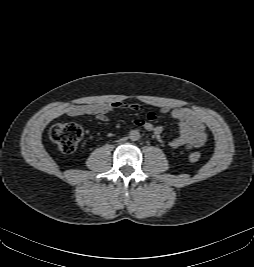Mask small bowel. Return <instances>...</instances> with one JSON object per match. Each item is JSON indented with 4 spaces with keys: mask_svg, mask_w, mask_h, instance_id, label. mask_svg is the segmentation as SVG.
Wrapping results in <instances>:
<instances>
[{
    "mask_svg": "<svg viewBox=\"0 0 254 267\" xmlns=\"http://www.w3.org/2000/svg\"><path fill=\"white\" fill-rule=\"evenodd\" d=\"M143 105L141 103H125V102H97L90 104L72 105L67 110V115L70 117L77 116H93L101 121L107 120V114L118 108H128L133 111L141 110ZM161 112L170 113L173 119L178 122L179 133L173 138L169 145L171 148H185L193 149L202 146L206 139V127L202 119L192 110L188 108L170 109L162 107ZM156 114L148 112L144 118H137L134 120V125L144 128L151 132L156 139L161 140L163 134V127L155 125Z\"/></svg>",
    "mask_w": 254,
    "mask_h": 267,
    "instance_id": "1",
    "label": "small bowel"
}]
</instances>
